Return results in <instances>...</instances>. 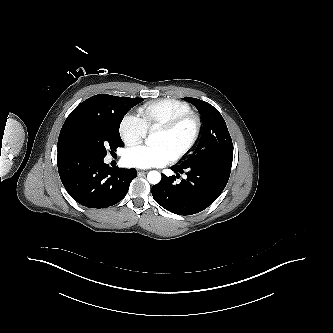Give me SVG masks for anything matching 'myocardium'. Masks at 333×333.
Segmentation results:
<instances>
[{"label": "myocardium", "mask_w": 333, "mask_h": 333, "mask_svg": "<svg viewBox=\"0 0 333 333\" xmlns=\"http://www.w3.org/2000/svg\"><path fill=\"white\" fill-rule=\"evenodd\" d=\"M186 122H192L193 124L192 135L187 144L172 156V161H178L184 156H186L197 143L202 129L201 117L198 114L190 111L175 117L174 119L157 128L158 131L164 133H173L176 129H178Z\"/></svg>", "instance_id": "1"}]
</instances>
